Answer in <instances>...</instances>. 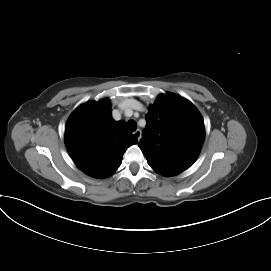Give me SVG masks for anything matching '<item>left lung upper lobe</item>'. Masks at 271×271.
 <instances>
[{
    "instance_id": "left-lung-upper-lobe-1",
    "label": "left lung upper lobe",
    "mask_w": 271,
    "mask_h": 271,
    "mask_svg": "<svg viewBox=\"0 0 271 271\" xmlns=\"http://www.w3.org/2000/svg\"><path fill=\"white\" fill-rule=\"evenodd\" d=\"M146 121L139 147L151 167L181 173L195 162L205 128L192 103L176 94L160 95Z\"/></svg>"
}]
</instances>
